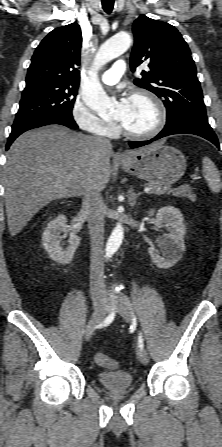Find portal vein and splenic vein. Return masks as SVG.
Here are the masks:
<instances>
[{"instance_id":"1","label":"portal vein and splenic vein","mask_w":222,"mask_h":447,"mask_svg":"<svg viewBox=\"0 0 222 447\" xmlns=\"http://www.w3.org/2000/svg\"><path fill=\"white\" fill-rule=\"evenodd\" d=\"M150 190H151L150 187H146L144 191H145V192H150ZM168 190H169V187H163V188H158V189H157V191H158L159 194L164 193V192H166V191H168Z\"/></svg>"}]
</instances>
